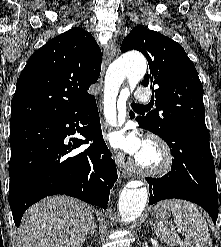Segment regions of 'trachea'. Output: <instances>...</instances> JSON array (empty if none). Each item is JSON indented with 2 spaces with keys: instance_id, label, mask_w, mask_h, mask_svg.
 Returning <instances> with one entry per match:
<instances>
[{
  "instance_id": "obj_1",
  "label": "trachea",
  "mask_w": 221,
  "mask_h": 247,
  "mask_svg": "<svg viewBox=\"0 0 221 247\" xmlns=\"http://www.w3.org/2000/svg\"><path fill=\"white\" fill-rule=\"evenodd\" d=\"M131 107L136 110V109H147L148 106L147 105H141V104H135V103H132L131 104Z\"/></svg>"
}]
</instances>
